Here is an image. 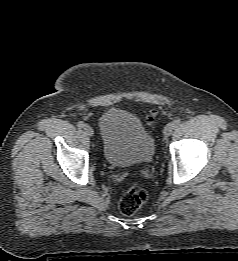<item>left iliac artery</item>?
I'll return each instance as SVG.
<instances>
[{"instance_id":"obj_1","label":"left iliac artery","mask_w":238,"mask_h":261,"mask_svg":"<svg viewBox=\"0 0 238 261\" xmlns=\"http://www.w3.org/2000/svg\"><path fill=\"white\" fill-rule=\"evenodd\" d=\"M181 123V120L180 119H176L172 122V125L174 128L178 127Z\"/></svg>"}]
</instances>
